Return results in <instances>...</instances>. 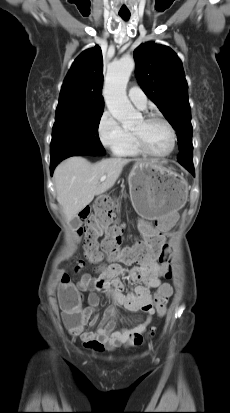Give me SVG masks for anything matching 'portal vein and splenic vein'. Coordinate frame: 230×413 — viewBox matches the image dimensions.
I'll use <instances>...</instances> for the list:
<instances>
[{"mask_svg": "<svg viewBox=\"0 0 230 413\" xmlns=\"http://www.w3.org/2000/svg\"><path fill=\"white\" fill-rule=\"evenodd\" d=\"M105 179H106V176H102V177L100 178V181L103 182V181H105Z\"/></svg>", "mask_w": 230, "mask_h": 413, "instance_id": "18ae733b", "label": "portal vein and splenic vein"}]
</instances>
